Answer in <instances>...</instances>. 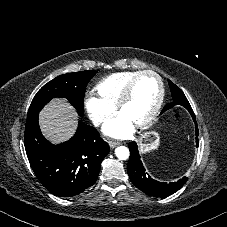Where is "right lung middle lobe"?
I'll list each match as a JSON object with an SVG mask.
<instances>
[{"instance_id": "obj_1", "label": "right lung middle lobe", "mask_w": 227, "mask_h": 227, "mask_svg": "<svg viewBox=\"0 0 227 227\" xmlns=\"http://www.w3.org/2000/svg\"><path fill=\"white\" fill-rule=\"evenodd\" d=\"M96 70L80 71L60 75L45 84L34 96L27 119L37 116L40 110L53 98H67L78 114L83 116L86 85Z\"/></svg>"}]
</instances>
